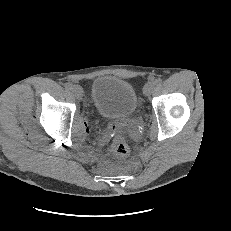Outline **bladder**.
I'll return each mask as SVG.
<instances>
[{
    "instance_id": "obj_1",
    "label": "bladder",
    "mask_w": 231,
    "mask_h": 231,
    "mask_svg": "<svg viewBox=\"0 0 231 231\" xmlns=\"http://www.w3.org/2000/svg\"><path fill=\"white\" fill-rule=\"evenodd\" d=\"M91 98L98 113L110 119L132 115L138 104L134 87L126 80L110 75L94 79Z\"/></svg>"
}]
</instances>
